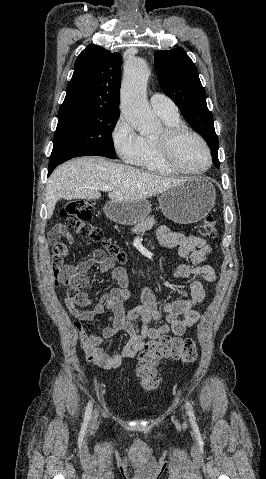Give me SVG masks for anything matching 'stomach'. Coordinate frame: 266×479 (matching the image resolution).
Listing matches in <instances>:
<instances>
[{"instance_id":"stomach-1","label":"stomach","mask_w":266,"mask_h":479,"mask_svg":"<svg viewBox=\"0 0 266 479\" xmlns=\"http://www.w3.org/2000/svg\"><path fill=\"white\" fill-rule=\"evenodd\" d=\"M215 199L213 185L204 178L188 179L164 191L158 198L162 213L179 224H192L203 219L213 208ZM150 210L151 205L146 200L111 201L104 207L108 218L126 225L145 219Z\"/></svg>"}]
</instances>
